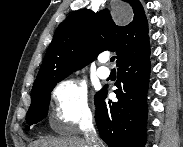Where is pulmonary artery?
Instances as JSON below:
<instances>
[{"label": "pulmonary artery", "instance_id": "e3ab8cb5", "mask_svg": "<svg viewBox=\"0 0 183 147\" xmlns=\"http://www.w3.org/2000/svg\"><path fill=\"white\" fill-rule=\"evenodd\" d=\"M99 62L101 64H105L107 62V57L106 56H101L99 58ZM98 76L102 79H106L110 75V69L106 66H100L97 70Z\"/></svg>", "mask_w": 183, "mask_h": 147}]
</instances>
